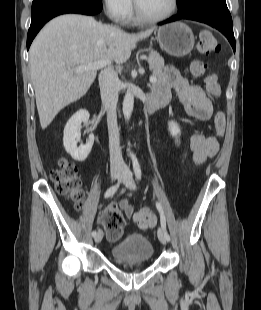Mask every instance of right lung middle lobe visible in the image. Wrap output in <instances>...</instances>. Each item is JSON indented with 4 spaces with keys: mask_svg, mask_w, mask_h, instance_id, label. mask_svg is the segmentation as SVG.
Returning <instances> with one entry per match:
<instances>
[{
    "mask_svg": "<svg viewBox=\"0 0 261 310\" xmlns=\"http://www.w3.org/2000/svg\"><path fill=\"white\" fill-rule=\"evenodd\" d=\"M42 1H45V0H33L32 5H36V4H38V3L42 2ZM87 1L101 2V0H87Z\"/></svg>",
    "mask_w": 261,
    "mask_h": 310,
    "instance_id": "dd1d6c3e",
    "label": "right lung middle lobe"
}]
</instances>
